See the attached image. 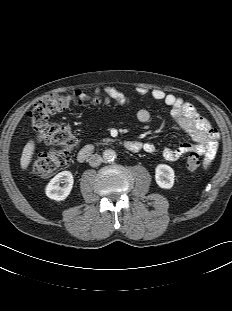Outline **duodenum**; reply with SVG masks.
Masks as SVG:
<instances>
[{
  "mask_svg": "<svg viewBox=\"0 0 232 311\" xmlns=\"http://www.w3.org/2000/svg\"><path fill=\"white\" fill-rule=\"evenodd\" d=\"M124 147L133 153L139 152L142 149V144L138 141H126L124 143ZM94 153V146L91 144L83 146L80 151L78 152V160L83 162L91 157Z\"/></svg>",
  "mask_w": 232,
  "mask_h": 311,
  "instance_id": "410a0bca",
  "label": "duodenum"
}]
</instances>
